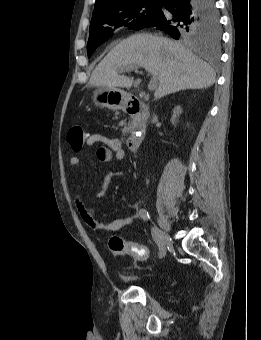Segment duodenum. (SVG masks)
<instances>
[{
    "mask_svg": "<svg viewBox=\"0 0 261 340\" xmlns=\"http://www.w3.org/2000/svg\"><path fill=\"white\" fill-rule=\"evenodd\" d=\"M126 112L132 116L131 133L126 139V145L130 150L137 151L145 135L147 105L140 99H131L126 104Z\"/></svg>",
    "mask_w": 261,
    "mask_h": 340,
    "instance_id": "1",
    "label": "duodenum"
}]
</instances>
